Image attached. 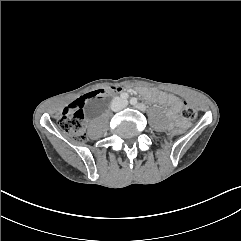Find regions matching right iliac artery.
Masks as SVG:
<instances>
[{
  "label": "right iliac artery",
  "instance_id": "1",
  "mask_svg": "<svg viewBox=\"0 0 241 241\" xmlns=\"http://www.w3.org/2000/svg\"><path fill=\"white\" fill-rule=\"evenodd\" d=\"M128 97H129V95H128L127 93H125V92L121 94V98H122L123 100L128 99Z\"/></svg>",
  "mask_w": 241,
  "mask_h": 241
}]
</instances>
